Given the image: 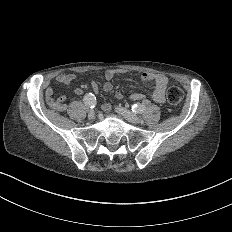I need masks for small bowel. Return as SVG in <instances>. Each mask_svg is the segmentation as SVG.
<instances>
[{
	"instance_id": "1",
	"label": "small bowel",
	"mask_w": 232,
	"mask_h": 232,
	"mask_svg": "<svg viewBox=\"0 0 232 232\" xmlns=\"http://www.w3.org/2000/svg\"><path fill=\"white\" fill-rule=\"evenodd\" d=\"M116 76H134L139 79V81L142 84H150L152 83V89L150 92L151 99L155 102L162 103L165 101V93L164 90L166 86L169 84V79L166 75L162 73H153V74H148L145 71L142 70H137V69H107L103 72L102 77L105 81L104 88L106 90L109 89V82ZM56 81L60 84H69L73 80L76 79V74L74 73H59L55 77ZM93 90L95 93H99V84L97 80H92L91 81ZM82 89L77 87L73 88V92L76 94L81 93ZM54 89L53 87L49 86L46 89V93L51 95L53 94ZM132 99H141L143 97V93L139 91H133L130 94ZM117 98H122L123 93L122 92H117L116 93ZM102 108L105 111H111L113 106L109 102H105L102 104Z\"/></svg>"
}]
</instances>
